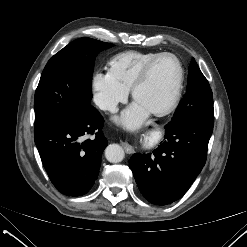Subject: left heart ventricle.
I'll return each instance as SVG.
<instances>
[{
    "label": "left heart ventricle",
    "instance_id": "1",
    "mask_svg": "<svg viewBox=\"0 0 247 247\" xmlns=\"http://www.w3.org/2000/svg\"><path fill=\"white\" fill-rule=\"evenodd\" d=\"M178 79V66L171 57L160 59L136 92V102L149 111L164 106L171 98Z\"/></svg>",
    "mask_w": 247,
    "mask_h": 247
}]
</instances>
